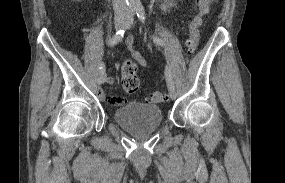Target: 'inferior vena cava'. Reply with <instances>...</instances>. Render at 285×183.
Segmentation results:
<instances>
[{"label":"inferior vena cava","instance_id":"obj_1","mask_svg":"<svg viewBox=\"0 0 285 183\" xmlns=\"http://www.w3.org/2000/svg\"><path fill=\"white\" fill-rule=\"evenodd\" d=\"M115 17H127L130 14L126 0H112Z\"/></svg>","mask_w":285,"mask_h":183}]
</instances>
